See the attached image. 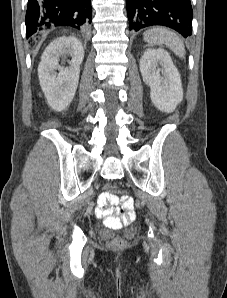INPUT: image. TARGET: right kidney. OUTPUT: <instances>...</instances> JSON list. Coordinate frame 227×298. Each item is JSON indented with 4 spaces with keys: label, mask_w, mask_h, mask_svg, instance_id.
Masks as SVG:
<instances>
[{
    "label": "right kidney",
    "mask_w": 227,
    "mask_h": 298,
    "mask_svg": "<svg viewBox=\"0 0 227 298\" xmlns=\"http://www.w3.org/2000/svg\"><path fill=\"white\" fill-rule=\"evenodd\" d=\"M83 58L82 43L73 36L57 38L45 49L38 75L47 103L52 109L62 111L71 103L77 90ZM60 59L62 62L67 61L69 67L60 66Z\"/></svg>",
    "instance_id": "1"
}]
</instances>
